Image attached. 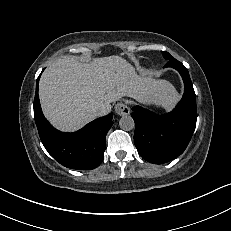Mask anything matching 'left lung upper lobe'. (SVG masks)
I'll use <instances>...</instances> for the list:
<instances>
[{"mask_svg":"<svg viewBox=\"0 0 231 231\" xmlns=\"http://www.w3.org/2000/svg\"><path fill=\"white\" fill-rule=\"evenodd\" d=\"M162 54H163V57L168 61L175 59L168 52L162 51Z\"/></svg>","mask_w":231,"mask_h":231,"instance_id":"obj_1","label":"left lung upper lobe"}]
</instances>
